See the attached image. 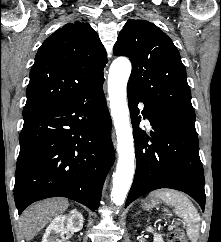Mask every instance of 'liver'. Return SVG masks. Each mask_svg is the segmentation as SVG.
I'll return each mask as SVG.
<instances>
[{"instance_id":"1","label":"liver","mask_w":221,"mask_h":242,"mask_svg":"<svg viewBox=\"0 0 221 242\" xmlns=\"http://www.w3.org/2000/svg\"><path fill=\"white\" fill-rule=\"evenodd\" d=\"M68 206L66 199L53 198L27 208L21 216L22 232L26 241H31L54 216L63 213Z\"/></svg>"}]
</instances>
